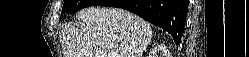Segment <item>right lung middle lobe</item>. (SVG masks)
<instances>
[{
  "instance_id": "dd1d6c3e",
  "label": "right lung middle lobe",
  "mask_w": 249,
  "mask_h": 57,
  "mask_svg": "<svg viewBox=\"0 0 249 57\" xmlns=\"http://www.w3.org/2000/svg\"><path fill=\"white\" fill-rule=\"evenodd\" d=\"M105 0H65L63 7H62V13H76L77 11L81 10L82 8L88 7V6H97L101 2H104Z\"/></svg>"
}]
</instances>
